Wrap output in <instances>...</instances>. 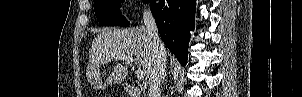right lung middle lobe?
<instances>
[{
  "label": "right lung middle lobe",
  "mask_w": 302,
  "mask_h": 97,
  "mask_svg": "<svg viewBox=\"0 0 302 97\" xmlns=\"http://www.w3.org/2000/svg\"><path fill=\"white\" fill-rule=\"evenodd\" d=\"M125 0H94L97 20L102 26H128L129 22L120 13V4ZM150 0H143L148 3Z\"/></svg>",
  "instance_id": "dd1d6c3e"
}]
</instances>
